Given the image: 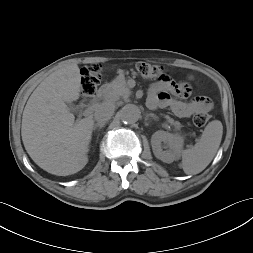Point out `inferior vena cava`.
<instances>
[{
    "label": "inferior vena cava",
    "instance_id": "602c4592",
    "mask_svg": "<svg viewBox=\"0 0 253 253\" xmlns=\"http://www.w3.org/2000/svg\"><path fill=\"white\" fill-rule=\"evenodd\" d=\"M114 110L115 107L113 103L103 102L96 108L94 118L98 124H103L112 117Z\"/></svg>",
    "mask_w": 253,
    "mask_h": 253
}]
</instances>
